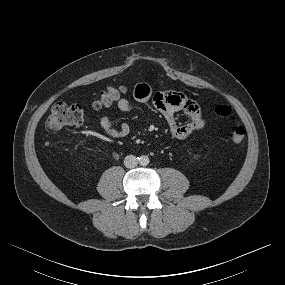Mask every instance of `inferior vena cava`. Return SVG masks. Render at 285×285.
I'll use <instances>...</instances> for the list:
<instances>
[{
	"instance_id": "1",
	"label": "inferior vena cava",
	"mask_w": 285,
	"mask_h": 285,
	"mask_svg": "<svg viewBox=\"0 0 285 285\" xmlns=\"http://www.w3.org/2000/svg\"><path fill=\"white\" fill-rule=\"evenodd\" d=\"M124 165L127 168H134L138 165V160L134 155H128L124 159Z\"/></svg>"
}]
</instances>
